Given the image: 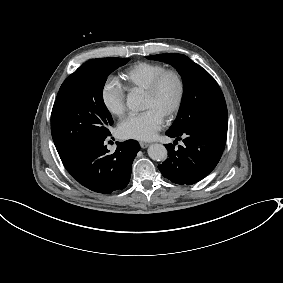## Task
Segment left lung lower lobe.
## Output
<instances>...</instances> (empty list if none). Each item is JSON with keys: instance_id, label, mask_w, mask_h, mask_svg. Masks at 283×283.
<instances>
[{"instance_id": "0a47b994", "label": "left lung lower lobe", "mask_w": 283, "mask_h": 283, "mask_svg": "<svg viewBox=\"0 0 283 283\" xmlns=\"http://www.w3.org/2000/svg\"><path fill=\"white\" fill-rule=\"evenodd\" d=\"M170 137H184V145L175 149L167 144L168 158L158 168L173 183L191 185L206 177L223 153L227 127L191 129L181 133L166 132Z\"/></svg>"}]
</instances>
